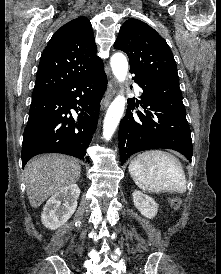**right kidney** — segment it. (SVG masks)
<instances>
[{
	"label": "right kidney",
	"mask_w": 221,
	"mask_h": 274,
	"mask_svg": "<svg viewBox=\"0 0 221 274\" xmlns=\"http://www.w3.org/2000/svg\"><path fill=\"white\" fill-rule=\"evenodd\" d=\"M80 189L72 184L56 192L46 203L41 221L46 228L55 230L64 225L77 208Z\"/></svg>",
	"instance_id": "right-kidney-1"
}]
</instances>
